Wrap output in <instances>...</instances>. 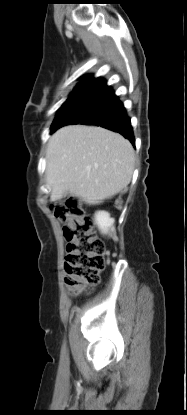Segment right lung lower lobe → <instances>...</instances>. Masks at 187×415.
<instances>
[{
	"label": "right lung lower lobe",
	"instance_id": "1",
	"mask_svg": "<svg viewBox=\"0 0 187 415\" xmlns=\"http://www.w3.org/2000/svg\"><path fill=\"white\" fill-rule=\"evenodd\" d=\"M79 123L118 132L135 146L132 126L123 103L101 77L90 76L74 89L68 102L59 109L51 132Z\"/></svg>",
	"mask_w": 187,
	"mask_h": 415
}]
</instances>
